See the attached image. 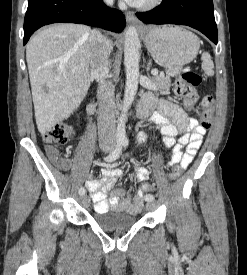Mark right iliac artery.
Segmentation results:
<instances>
[{"label": "right iliac artery", "instance_id": "82829eb1", "mask_svg": "<svg viewBox=\"0 0 247 275\" xmlns=\"http://www.w3.org/2000/svg\"><path fill=\"white\" fill-rule=\"evenodd\" d=\"M121 150H122V142H117V145H116V148L114 149V151H112V153H110L108 156H106L104 158V160L107 162L115 161L120 156ZM85 192H86L85 188L80 187L79 195H84Z\"/></svg>", "mask_w": 247, "mask_h": 275}]
</instances>
